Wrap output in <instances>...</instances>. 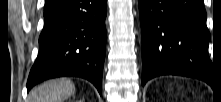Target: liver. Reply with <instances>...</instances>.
Wrapping results in <instances>:
<instances>
[{
    "mask_svg": "<svg viewBox=\"0 0 221 102\" xmlns=\"http://www.w3.org/2000/svg\"><path fill=\"white\" fill-rule=\"evenodd\" d=\"M75 85L66 78L47 81L29 95V102H64L74 95Z\"/></svg>",
    "mask_w": 221,
    "mask_h": 102,
    "instance_id": "1",
    "label": "liver"
}]
</instances>
